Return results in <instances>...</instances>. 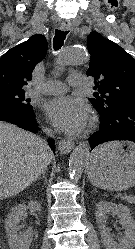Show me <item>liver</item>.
Listing matches in <instances>:
<instances>
[{
    "instance_id": "1",
    "label": "liver",
    "mask_w": 135,
    "mask_h": 249,
    "mask_svg": "<svg viewBox=\"0 0 135 249\" xmlns=\"http://www.w3.org/2000/svg\"><path fill=\"white\" fill-rule=\"evenodd\" d=\"M53 157L49 146L38 136L0 122V200L31 185Z\"/></svg>"
}]
</instances>
